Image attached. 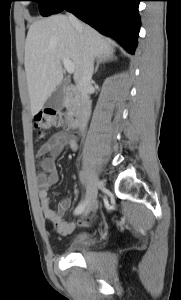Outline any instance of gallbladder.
Listing matches in <instances>:
<instances>
[{
    "mask_svg": "<svg viewBox=\"0 0 181 300\" xmlns=\"http://www.w3.org/2000/svg\"><path fill=\"white\" fill-rule=\"evenodd\" d=\"M64 96H65V83L61 82L53 91V93L48 97L44 107L54 109L57 111L61 110L63 107Z\"/></svg>",
    "mask_w": 181,
    "mask_h": 300,
    "instance_id": "bac80fb5",
    "label": "gallbladder"
}]
</instances>
